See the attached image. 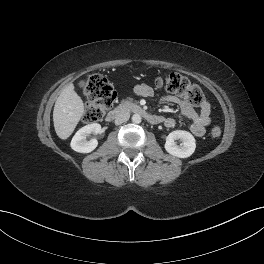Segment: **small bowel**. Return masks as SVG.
Here are the masks:
<instances>
[{"label": "small bowel", "mask_w": 264, "mask_h": 264, "mask_svg": "<svg viewBox=\"0 0 264 264\" xmlns=\"http://www.w3.org/2000/svg\"><path fill=\"white\" fill-rule=\"evenodd\" d=\"M134 94L141 97H151L154 92L147 84H139L134 88ZM164 103L174 104L178 107L179 112L164 119V124L168 128H173L177 124L180 117L186 118L190 121L189 130L197 137L204 135L206 127L211 122V107L210 104L204 101L200 105L199 111L188 104L184 99L174 95H164L161 97Z\"/></svg>", "instance_id": "obj_1"}]
</instances>
